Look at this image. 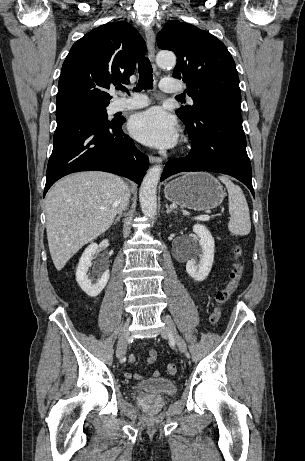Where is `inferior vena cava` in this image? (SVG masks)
<instances>
[{
	"mask_svg": "<svg viewBox=\"0 0 305 461\" xmlns=\"http://www.w3.org/2000/svg\"><path fill=\"white\" fill-rule=\"evenodd\" d=\"M129 196H130L129 190L125 187L120 197V200H119V211H122L127 208L128 203H129Z\"/></svg>",
	"mask_w": 305,
	"mask_h": 461,
	"instance_id": "inferior-vena-cava-1",
	"label": "inferior vena cava"
}]
</instances>
